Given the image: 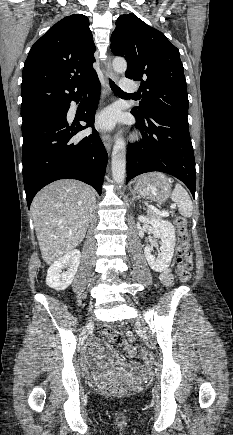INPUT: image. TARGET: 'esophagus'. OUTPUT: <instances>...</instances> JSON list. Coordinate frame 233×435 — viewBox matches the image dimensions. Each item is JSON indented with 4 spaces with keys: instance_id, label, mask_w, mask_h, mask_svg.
I'll use <instances>...</instances> for the list:
<instances>
[{
    "instance_id": "esophagus-1",
    "label": "esophagus",
    "mask_w": 233,
    "mask_h": 435,
    "mask_svg": "<svg viewBox=\"0 0 233 435\" xmlns=\"http://www.w3.org/2000/svg\"><path fill=\"white\" fill-rule=\"evenodd\" d=\"M104 66H105V72H104V74H105V87H106V90L109 91V85H108L109 79H112V80L116 81L117 80V76H116V74L112 70L111 62H110V58L109 57L105 61ZM101 139L103 141V144H104L105 148L108 151H110L111 147H112V142H113L111 137H110V135L105 133V132H101Z\"/></svg>"
}]
</instances>
